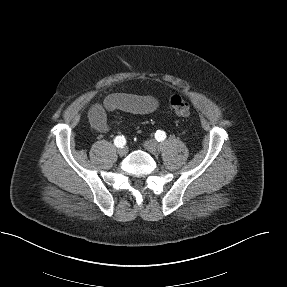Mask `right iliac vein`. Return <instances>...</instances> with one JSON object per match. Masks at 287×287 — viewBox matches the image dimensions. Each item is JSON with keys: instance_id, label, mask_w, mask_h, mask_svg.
<instances>
[{"instance_id": "obj_1", "label": "right iliac vein", "mask_w": 287, "mask_h": 287, "mask_svg": "<svg viewBox=\"0 0 287 287\" xmlns=\"http://www.w3.org/2000/svg\"><path fill=\"white\" fill-rule=\"evenodd\" d=\"M117 152L120 156H125L128 153V148L127 147H121L118 149Z\"/></svg>"}]
</instances>
